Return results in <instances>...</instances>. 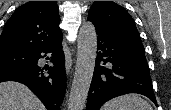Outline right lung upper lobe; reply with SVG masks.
I'll list each match as a JSON object with an SVG mask.
<instances>
[{
  "mask_svg": "<svg viewBox=\"0 0 171 110\" xmlns=\"http://www.w3.org/2000/svg\"><path fill=\"white\" fill-rule=\"evenodd\" d=\"M56 1H29L18 7L6 22L0 51L36 52L61 38Z\"/></svg>",
  "mask_w": 171,
  "mask_h": 110,
  "instance_id": "cb5924a9",
  "label": "right lung upper lobe"
}]
</instances>
